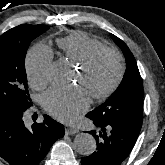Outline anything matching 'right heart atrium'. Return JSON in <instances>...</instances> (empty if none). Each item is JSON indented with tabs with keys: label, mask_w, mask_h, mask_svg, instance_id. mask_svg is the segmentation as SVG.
Instances as JSON below:
<instances>
[{
	"label": "right heart atrium",
	"mask_w": 165,
	"mask_h": 165,
	"mask_svg": "<svg viewBox=\"0 0 165 165\" xmlns=\"http://www.w3.org/2000/svg\"><path fill=\"white\" fill-rule=\"evenodd\" d=\"M52 59V52L46 46L38 44L31 48L26 58V71L33 87L40 88L47 84Z\"/></svg>",
	"instance_id": "1"
}]
</instances>
